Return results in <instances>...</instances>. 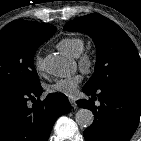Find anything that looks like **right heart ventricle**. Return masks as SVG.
<instances>
[{
  "mask_svg": "<svg viewBox=\"0 0 141 141\" xmlns=\"http://www.w3.org/2000/svg\"><path fill=\"white\" fill-rule=\"evenodd\" d=\"M57 47L70 56L77 57L85 48V42L80 37H65L61 39Z\"/></svg>",
  "mask_w": 141,
  "mask_h": 141,
  "instance_id": "e07e8e85",
  "label": "right heart ventricle"
}]
</instances>
